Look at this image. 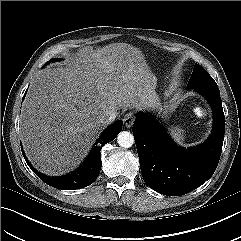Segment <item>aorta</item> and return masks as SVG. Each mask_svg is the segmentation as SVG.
<instances>
[{"label": "aorta", "instance_id": "762f6f07", "mask_svg": "<svg viewBox=\"0 0 241 241\" xmlns=\"http://www.w3.org/2000/svg\"><path fill=\"white\" fill-rule=\"evenodd\" d=\"M117 142L121 147L129 148L134 144V137L128 131H122L117 136Z\"/></svg>", "mask_w": 241, "mask_h": 241}]
</instances>
